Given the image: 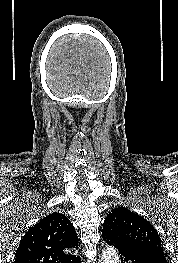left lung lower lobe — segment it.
<instances>
[{"instance_id": "left-lung-lower-lobe-1", "label": "left lung lower lobe", "mask_w": 178, "mask_h": 263, "mask_svg": "<svg viewBox=\"0 0 178 263\" xmlns=\"http://www.w3.org/2000/svg\"><path fill=\"white\" fill-rule=\"evenodd\" d=\"M102 235L107 244L118 249L121 263H168L163 251L154 246L129 240L109 228H103Z\"/></svg>"}]
</instances>
